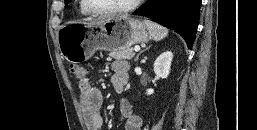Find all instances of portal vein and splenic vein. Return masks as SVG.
Here are the masks:
<instances>
[{
    "instance_id": "18ae733b",
    "label": "portal vein and splenic vein",
    "mask_w": 257,
    "mask_h": 130,
    "mask_svg": "<svg viewBox=\"0 0 257 130\" xmlns=\"http://www.w3.org/2000/svg\"><path fill=\"white\" fill-rule=\"evenodd\" d=\"M136 52H138L140 50V47H135L134 49Z\"/></svg>"
}]
</instances>
